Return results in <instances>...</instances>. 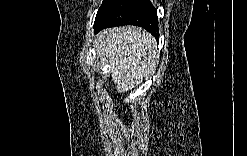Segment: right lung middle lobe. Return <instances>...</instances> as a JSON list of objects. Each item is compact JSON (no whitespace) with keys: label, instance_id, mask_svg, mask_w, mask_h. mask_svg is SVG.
Listing matches in <instances>:
<instances>
[{"label":"right lung middle lobe","instance_id":"obj_1","mask_svg":"<svg viewBox=\"0 0 247 156\" xmlns=\"http://www.w3.org/2000/svg\"><path fill=\"white\" fill-rule=\"evenodd\" d=\"M113 0H104L103 1V4L101 5V7L99 8L98 12H97V15H96V18L103 12V10L108 6V4L110 2H112Z\"/></svg>","mask_w":247,"mask_h":156}]
</instances>
